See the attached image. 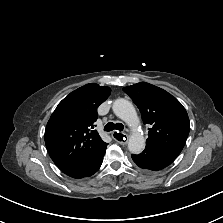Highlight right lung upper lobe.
Segmentation results:
<instances>
[{
    "mask_svg": "<svg viewBox=\"0 0 223 223\" xmlns=\"http://www.w3.org/2000/svg\"><path fill=\"white\" fill-rule=\"evenodd\" d=\"M111 89L86 84L65 97L51 115L45 130V144L50 157L63 172H69L91 161L107 143L94 128L98 106Z\"/></svg>",
    "mask_w": 223,
    "mask_h": 223,
    "instance_id": "cb5924a9",
    "label": "right lung upper lobe"
}]
</instances>
